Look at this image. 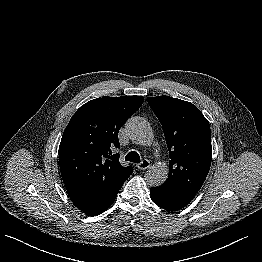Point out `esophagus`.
<instances>
[{
	"instance_id": "1",
	"label": "esophagus",
	"mask_w": 262,
	"mask_h": 262,
	"mask_svg": "<svg viewBox=\"0 0 262 262\" xmlns=\"http://www.w3.org/2000/svg\"><path fill=\"white\" fill-rule=\"evenodd\" d=\"M150 161L147 159H144L141 163L137 165L138 169L140 170H146L150 167Z\"/></svg>"
}]
</instances>
